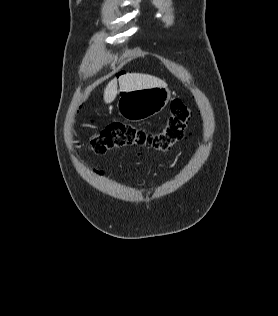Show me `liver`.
<instances>
[{
    "label": "liver",
    "mask_w": 278,
    "mask_h": 316,
    "mask_svg": "<svg viewBox=\"0 0 278 316\" xmlns=\"http://www.w3.org/2000/svg\"><path fill=\"white\" fill-rule=\"evenodd\" d=\"M119 88L121 92L135 91L139 89H146L152 87H166V83L161 79L139 73H126L119 77ZM117 79L111 80L104 90L105 103H111L114 101L117 95Z\"/></svg>",
    "instance_id": "liver-1"
}]
</instances>
